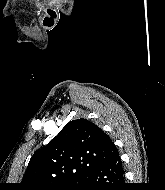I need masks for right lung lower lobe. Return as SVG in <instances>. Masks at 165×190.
<instances>
[{
    "label": "right lung lower lobe",
    "instance_id": "98d812e1",
    "mask_svg": "<svg viewBox=\"0 0 165 190\" xmlns=\"http://www.w3.org/2000/svg\"><path fill=\"white\" fill-rule=\"evenodd\" d=\"M79 190H126L119 153L86 171Z\"/></svg>",
    "mask_w": 165,
    "mask_h": 190
}]
</instances>
